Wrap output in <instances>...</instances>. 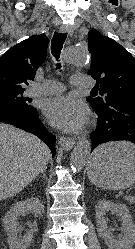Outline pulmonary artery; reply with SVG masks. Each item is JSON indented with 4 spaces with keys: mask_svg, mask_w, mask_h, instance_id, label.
<instances>
[{
    "mask_svg": "<svg viewBox=\"0 0 135 249\" xmlns=\"http://www.w3.org/2000/svg\"><path fill=\"white\" fill-rule=\"evenodd\" d=\"M71 84L76 88L93 87L94 80L90 77L82 75H73L71 77ZM65 90L63 83L54 80H46L40 85L33 86L26 91L29 96L35 95H54L62 93Z\"/></svg>",
    "mask_w": 135,
    "mask_h": 249,
    "instance_id": "1",
    "label": "pulmonary artery"
}]
</instances>
